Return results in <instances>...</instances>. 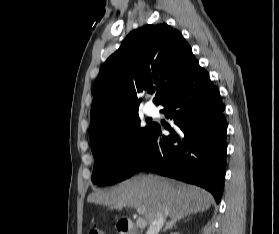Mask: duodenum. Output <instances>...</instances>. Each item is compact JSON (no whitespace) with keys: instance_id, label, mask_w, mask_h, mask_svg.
<instances>
[{"instance_id":"410a0bca","label":"duodenum","mask_w":279,"mask_h":234,"mask_svg":"<svg viewBox=\"0 0 279 234\" xmlns=\"http://www.w3.org/2000/svg\"><path fill=\"white\" fill-rule=\"evenodd\" d=\"M118 230L121 234H137L133 221L129 219H120L118 222Z\"/></svg>"}]
</instances>
